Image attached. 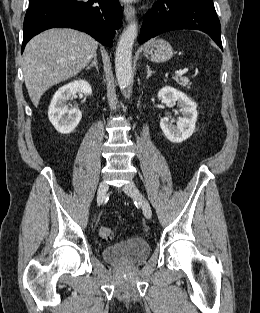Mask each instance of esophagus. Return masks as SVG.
<instances>
[{
	"instance_id": "1",
	"label": "esophagus",
	"mask_w": 260,
	"mask_h": 313,
	"mask_svg": "<svg viewBox=\"0 0 260 313\" xmlns=\"http://www.w3.org/2000/svg\"><path fill=\"white\" fill-rule=\"evenodd\" d=\"M124 15L128 22L132 21L135 16V8L132 5L126 4L124 6Z\"/></svg>"
}]
</instances>
